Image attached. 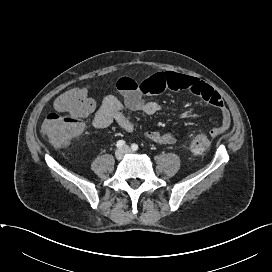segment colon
I'll list each match as a JSON object with an SVG mask.
<instances>
[{
	"instance_id": "colon-1",
	"label": "colon",
	"mask_w": 272,
	"mask_h": 272,
	"mask_svg": "<svg viewBox=\"0 0 272 272\" xmlns=\"http://www.w3.org/2000/svg\"><path fill=\"white\" fill-rule=\"evenodd\" d=\"M56 112L50 113L42 126L44 135L58 147L67 145L79 135L84 118L93 110L94 102L84 87H73L62 93L55 101ZM205 135H197L191 142L194 153H202L209 146Z\"/></svg>"
}]
</instances>
